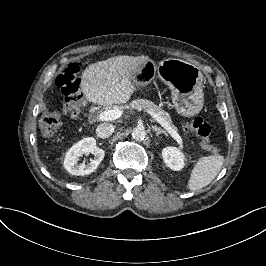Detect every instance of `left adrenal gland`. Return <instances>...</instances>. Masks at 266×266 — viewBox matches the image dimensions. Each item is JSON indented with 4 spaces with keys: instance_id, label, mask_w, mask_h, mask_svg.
<instances>
[{
    "instance_id": "obj_1",
    "label": "left adrenal gland",
    "mask_w": 266,
    "mask_h": 266,
    "mask_svg": "<svg viewBox=\"0 0 266 266\" xmlns=\"http://www.w3.org/2000/svg\"><path fill=\"white\" fill-rule=\"evenodd\" d=\"M152 129L156 132V136H159L160 134H164L166 137L168 136V134L166 133L165 130H163L162 128L160 127H157V126H152Z\"/></svg>"
}]
</instances>
